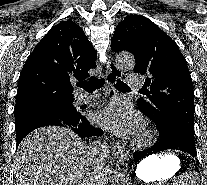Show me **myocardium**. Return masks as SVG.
Masks as SVG:
<instances>
[{"instance_id":"1","label":"myocardium","mask_w":207,"mask_h":185,"mask_svg":"<svg viewBox=\"0 0 207 185\" xmlns=\"http://www.w3.org/2000/svg\"><path fill=\"white\" fill-rule=\"evenodd\" d=\"M158 135L156 128L144 125L140 133L132 140V145L135 148H140L143 143L151 138H154Z\"/></svg>"}]
</instances>
